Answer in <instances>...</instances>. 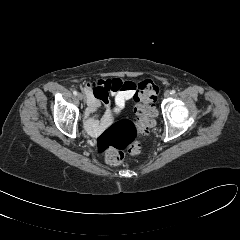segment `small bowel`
<instances>
[{
  "instance_id": "c3829d8e",
  "label": "small bowel",
  "mask_w": 240,
  "mask_h": 240,
  "mask_svg": "<svg viewBox=\"0 0 240 240\" xmlns=\"http://www.w3.org/2000/svg\"><path fill=\"white\" fill-rule=\"evenodd\" d=\"M136 84L131 81H122L118 78L89 81L84 87L87 100V110L84 124L87 131L95 136L105 129L126 104L135 95ZM114 96L115 107L110 104L109 97ZM104 106L101 118L95 112Z\"/></svg>"
}]
</instances>
